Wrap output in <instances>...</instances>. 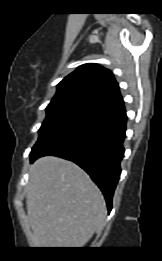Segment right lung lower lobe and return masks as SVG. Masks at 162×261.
Masks as SVG:
<instances>
[{"instance_id":"right-lung-lower-lobe-1","label":"right lung lower lobe","mask_w":162,"mask_h":261,"mask_svg":"<svg viewBox=\"0 0 162 261\" xmlns=\"http://www.w3.org/2000/svg\"><path fill=\"white\" fill-rule=\"evenodd\" d=\"M126 121L122 99L104 105L58 129L31 152L30 160L54 155L75 162L101 189L110 212L121 174Z\"/></svg>"}]
</instances>
